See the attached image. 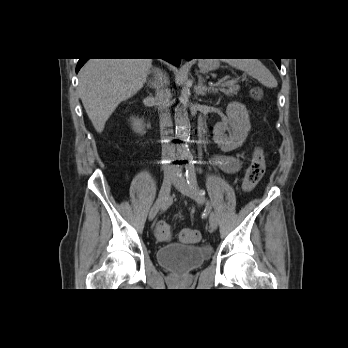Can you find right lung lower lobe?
<instances>
[{
	"instance_id": "1",
	"label": "right lung lower lobe",
	"mask_w": 348,
	"mask_h": 348,
	"mask_svg": "<svg viewBox=\"0 0 348 348\" xmlns=\"http://www.w3.org/2000/svg\"><path fill=\"white\" fill-rule=\"evenodd\" d=\"M88 59H82L80 58L76 67V73H78V71L80 70V68L86 63ZM166 61L172 63L175 66H179L180 64V60L179 58H174V59H165Z\"/></svg>"
}]
</instances>
